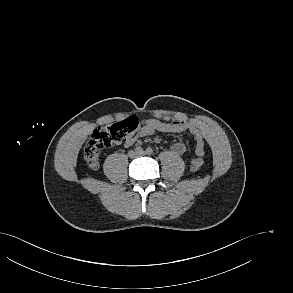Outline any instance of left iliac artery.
I'll list each match as a JSON object with an SVG mask.
<instances>
[{"label":"left iliac artery","mask_w":293,"mask_h":293,"mask_svg":"<svg viewBox=\"0 0 293 293\" xmlns=\"http://www.w3.org/2000/svg\"><path fill=\"white\" fill-rule=\"evenodd\" d=\"M146 153H147L148 155L153 154V149L150 148V147H148V148L146 149Z\"/></svg>","instance_id":"left-iliac-artery-1"}]
</instances>
